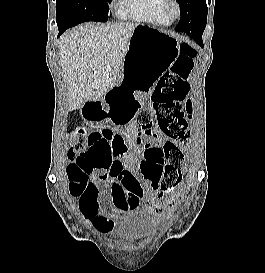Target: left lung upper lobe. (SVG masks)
Listing matches in <instances>:
<instances>
[{
	"label": "left lung upper lobe",
	"mask_w": 265,
	"mask_h": 273,
	"mask_svg": "<svg viewBox=\"0 0 265 273\" xmlns=\"http://www.w3.org/2000/svg\"><path fill=\"white\" fill-rule=\"evenodd\" d=\"M196 0H177V2L179 3L180 6V10H181V15L187 12H190L191 9L194 7ZM204 16H205V23L206 18H207V6L206 9L204 10Z\"/></svg>",
	"instance_id": "left-lung-upper-lobe-1"
}]
</instances>
